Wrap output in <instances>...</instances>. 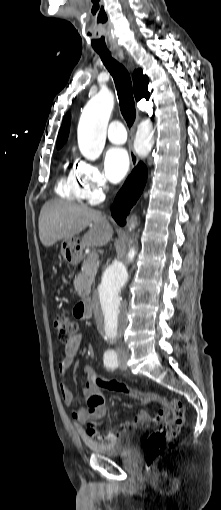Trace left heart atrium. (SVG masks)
Listing matches in <instances>:
<instances>
[{
    "label": "left heart atrium",
    "mask_w": 221,
    "mask_h": 510,
    "mask_svg": "<svg viewBox=\"0 0 221 510\" xmlns=\"http://www.w3.org/2000/svg\"><path fill=\"white\" fill-rule=\"evenodd\" d=\"M104 163L107 176L114 183L121 181L130 167L129 155L121 147L110 148L106 152Z\"/></svg>",
    "instance_id": "1"
}]
</instances>
